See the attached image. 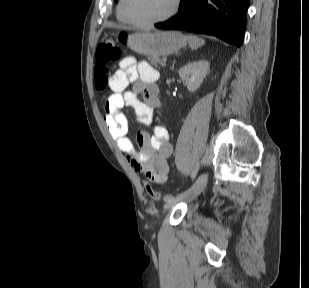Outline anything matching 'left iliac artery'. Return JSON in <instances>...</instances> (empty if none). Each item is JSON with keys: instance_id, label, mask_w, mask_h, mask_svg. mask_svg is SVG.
I'll list each match as a JSON object with an SVG mask.
<instances>
[{"instance_id": "obj_1", "label": "left iliac artery", "mask_w": 309, "mask_h": 288, "mask_svg": "<svg viewBox=\"0 0 309 288\" xmlns=\"http://www.w3.org/2000/svg\"><path fill=\"white\" fill-rule=\"evenodd\" d=\"M196 173H197V169L194 170V172L192 173V178H195ZM188 194H189V190H186V191H184L183 193L179 194L178 197H173V196H171V195H168V196H166V197L164 198V200H165V201H170V200H172V199H174V198H177V199H178V198H185Z\"/></svg>"}]
</instances>
